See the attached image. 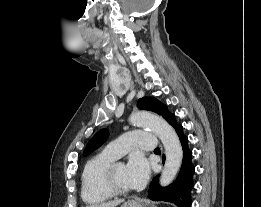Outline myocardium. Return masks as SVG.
Here are the masks:
<instances>
[{"mask_svg":"<svg viewBox=\"0 0 261 207\" xmlns=\"http://www.w3.org/2000/svg\"><path fill=\"white\" fill-rule=\"evenodd\" d=\"M120 163L121 162L113 161L107 167L104 175L105 186L109 191V193L114 196L126 195L131 191L130 189H123L119 187L115 182V177H114L115 167Z\"/></svg>","mask_w":261,"mask_h":207,"instance_id":"obj_1","label":"myocardium"}]
</instances>
